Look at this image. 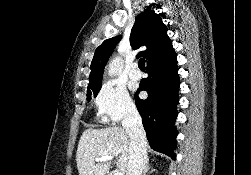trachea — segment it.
Returning a JSON list of instances; mask_svg holds the SVG:
<instances>
[{"label": "trachea", "mask_w": 251, "mask_h": 175, "mask_svg": "<svg viewBox=\"0 0 251 175\" xmlns=\"http://www.w3.org/2000/svg\"><path fill=\"white\" fill-rule=\"evenodd\" d=\"M138 66H139L140 70H145V59L144 58H140V60L138 62Z\"/></svg>", "instance_id": "1"}]
</instances>
